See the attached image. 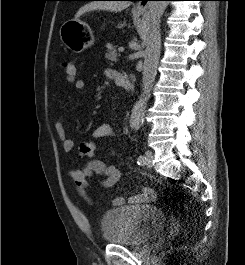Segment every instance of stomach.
<instances>
[{"instance_id":"obj_1","label":"stomach","mask_w":245,"mask_h":265,"mask_svg":"<svg viewBox=\"0 0 245 265\" xmlns=\"http://www.w3.org/2000/svg\"><path fill=\"white\" fill-rule=\"evenodd\" d=\"M142 12H137L140 15ZM63 44L74 53H81L94 44L95 38L87 23L71 19L62 24L59 30Z\"/></svg>"}]
</instances>
